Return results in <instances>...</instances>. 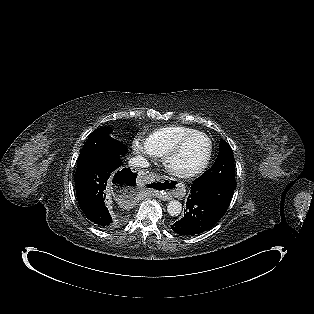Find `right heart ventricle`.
I'll return each mask as SVG.
<instances>
[{"label": "right heart ventricle", "mask_w": 314, "mask_h": 314, "mask_svg": "<svg viewBox=\"0 0 314 314\" xmlns=\"http://www.w3.org/2000/svg\"><path fill=\"white\" fill-rule=\"evenodd\" d=\"M197 130L186 126H167L154 130L146 141L157 156H164L182 137Z\"/></svg>", "instance_id": "obj_1"}]
</instances>
